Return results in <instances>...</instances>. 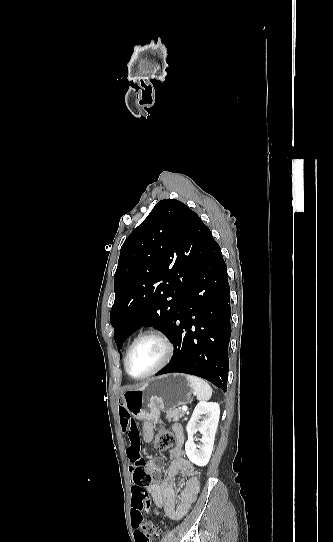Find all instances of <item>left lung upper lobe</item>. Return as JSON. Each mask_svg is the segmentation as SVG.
Returning <instances> with one entry per match:
<instances>
[{"instance_id": "left-lung-upper-lobe-1", "label": "left lung upper lobe", "mask_w": 333, "mask_h": 542, "mask_svg": "<svg viewBox=\"0 0 333 542\" xmlns=\"http://www.w3.org/2000/svg\"><path fill=\"white\" fill-rule=\"evenodd\" d=\"M213 240L209 228L184 203L164 199L156 204L121 247L110 313L119 349L144 325L171 333Z\"/></svg>"}]
</instances>
